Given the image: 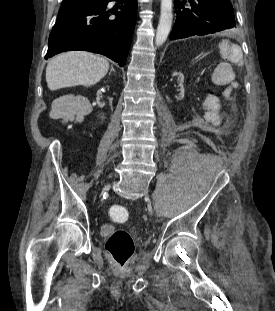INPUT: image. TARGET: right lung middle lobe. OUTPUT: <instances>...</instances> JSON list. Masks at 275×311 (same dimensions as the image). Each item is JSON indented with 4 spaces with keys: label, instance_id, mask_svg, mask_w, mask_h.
Returning a JSON list of instances; mask_svg holds the SVG:
<instances>
[{
    "label": "right lung middle lobe",
    "instance_id": "dd1d6c3e",
    "mask_svg": "<svg viewBox=\"0 0 275 311\" xmlns=\"http://www.w3.org/2000/svg\"><path fill=\"white\" fill-rule=\"evenodd\" d=\"M95 1H99V0H74V1L63 2L60 11L73 7V6L85 4L87 2H95Z\"/></svg>",
    "mask_w": 275,
    "mask_h": 311
}]
</instances>
